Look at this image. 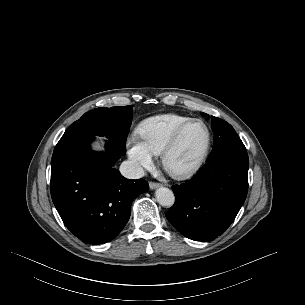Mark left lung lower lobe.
<instances>
[{
	"label": "left lung lower lobe",
	"instance_id": "left-lung-lower-lobe-1",
	"mask_svg": "<svg viewBox=\"0 0 305 305\" xmlns=\"http://www.w3.org/2000/svg\"><path fill=\"white\" fill-rule=\"evenodd\" d=\"M247 152H228L207 163L189 181L172 186L175 203L166 213L185 237L211 241L233 222L248 191Z\"/></svg>",
	"mask_w": 305,
	"mask_h": 305
}]
</instances>
